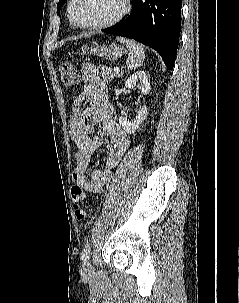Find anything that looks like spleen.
<instances>
[{
	"label": "spleen",
	"mask_w": 239,
	"mask_h": 303,
	"mask_svg": "<svg viewBox=\"0 0 239 303\" xmlns=\"http://www.w3.org/2000/svg\"><path fill=\"white\" fill-rule=\"evenodd\" d=\"M117 40L124 44L130 52L126 61L127 68L129 70H135L140 67L145 58V50L143 46L134 40L123 37H117Z\"/></svg>",
	"instance_id": "3e777b00"
}]
</instances>
